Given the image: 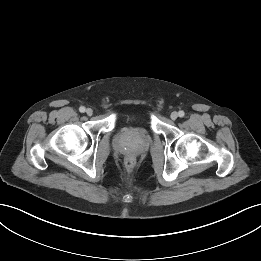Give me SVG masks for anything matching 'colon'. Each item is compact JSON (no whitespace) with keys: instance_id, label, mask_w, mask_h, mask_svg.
<instances>
[{"instance_id":"obj_1","label":"colon","mask_w":261,"mask_h":261,"mask_svg":"<svg viewBox=\"0 0 261 261\" xmlns=\"http://www.w3.org/2000/svg\"><path fill=\"white\" fill-rule=\"evenodd\" d=\"M133 165H134V160H133L132 158H128V159L126 160V166H127L128 168H131V167H133Z\"/></svg>"}]
</instances>
